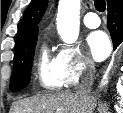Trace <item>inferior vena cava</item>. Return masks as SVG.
Masks as SVG:
<instances>
[{
	"instance_id": "inferior-vena-cava-1",
	"label": "inferior vena cava",
	"mask_w": 123,
	"mask_h": 113,
	"mask_svg": "<svg viewBox=\"0 0 123 113\" xmlns=\"http://www.w3.org/2000/svg\"><path fill=\"white\" fill-rule=\"evenodd\" d=\"M94 76L95 66L92 62H88L76 91V93L85 100H90L93 97L91 95V87L94 81Z\"/></svg>"
}]
</instances>
